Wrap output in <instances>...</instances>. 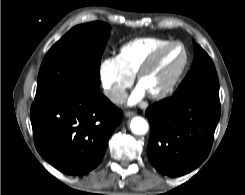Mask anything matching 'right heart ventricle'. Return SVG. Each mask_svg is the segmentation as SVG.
Listing matches in <instances>:
<instances>
[{
  "mask_svg": "<svg viewBox=\"0 0 245 195\" xmlns=\"http://www.w3.org/2000/svg\"><path fill=\"white\" fill-rule=\"evenodd\" d=\"M162 38H137L120 47L116 58L121 67L131 76H134L140 65L157 48L167 44Z\"/></svg>",
  "mask_w": 245,
  "mask_h": 195,
  "instance_id": "1",
  "label": "right heart ventricle"
}]
</instances>
